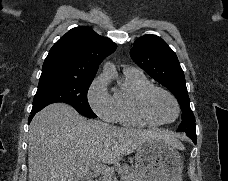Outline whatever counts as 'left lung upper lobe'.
Here are the masks:
<instances>
[{
    "label": "left lung upper lobe",
    "instance_id": "left-lung-upper-lobe-1",
    "mask_svg": "<svg viewBox=\"0 0 228 181\" xmlns=\"http://www.w3.org/2000/svg\"><path fill=\"white\" fill-rule=\"evenodd\" d=\"M130 56L140 68L177 98L183 112L177 131H194L195 117L189 104L184 72L175 52L160 37L144 35L134 42Z\"/></svg>",
    "mask_w": 228,
    "mask_h": 181
}]
</instances>
